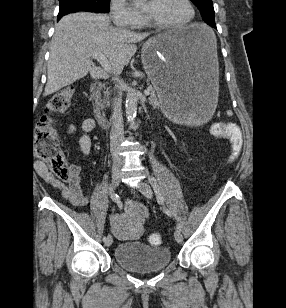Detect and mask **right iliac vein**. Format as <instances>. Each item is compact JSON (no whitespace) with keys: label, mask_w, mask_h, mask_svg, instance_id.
I'll list each match as a JSON object with an SVG mask.
<instances>
[{"label":"right iliac vein","mask_w":286,"mask_h":308,"mask_svg":"<svg viewBox=\"0 0 286 308\" xmlns=\"http://www.w3.org/2000/svg\"><path fill=\"white\" fill-rule=\"evenodd\" d=\"M119 167H120V164L117 160V157H115L114 159V162H113V168H112V180H113V186L114 188H117L119 186V183H120V171H119ZM112 236L111 235H108L106 237V240L104 241L105 243V246L106 247H109L111 246L112 244Z\"/></svg>","instance_id":"right-iliac-vein-1"}]
</instances>
